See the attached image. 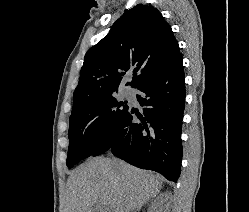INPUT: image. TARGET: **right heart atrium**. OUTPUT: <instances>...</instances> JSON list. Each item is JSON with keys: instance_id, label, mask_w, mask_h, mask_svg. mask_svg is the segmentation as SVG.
Returning a JSON list of instances; mask_svg holds the SVG:
<instances>
[{"instance_id": "d8ad5b80", "label": "right heart atrium", "mask_w": 249, "mask_h": 212, "mask_svg": "<svg viewBox=\"0 0 249 212\" xmlns=\"http://www.w3.org/2000/svg\"><path fill=\"white\" fill-rule=\"evenodd\" d=\"M97 133H102L104 131V124L102 122H99L97 127H96Z\"/></svg>"}]
</instances>
